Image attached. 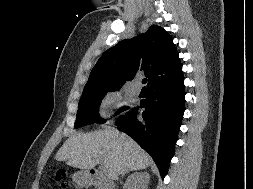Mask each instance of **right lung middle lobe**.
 Wrapping results in <instances>:
<instances>
[{"mask_svg": "<svg viewBox=\"0 0 253 189\" xmlns=\"http://www.w3.org/2000/svg\"><path fill=\"white\" fill-rule=\"evenodd\" d=\"M121 87H103L93 90L83 91L81 99L79 101V108L77 112V118L75 121V128H79L84 125H89L94 122L103 123L104 120L100 118L98 114V108L105 93L110 91L119 90ZM127 107L122 108V110Z\"/></svg>", "mask_w": 253, "mask_h": 189, "instance_id": "right-lung-middle-lobe-1", "label": "right lung middle lobe"}]
</instances>
